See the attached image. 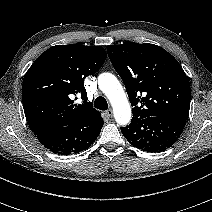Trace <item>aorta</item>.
I'll use <instances>...</instances> for the list:
<instances>
[{"instance_id":"1","label":"aorta","mask_w":212,"mask_h":212,"mask_svg":"<svg viewBox=\"0 0 212 212\" xmlns=\"http://www.w3.org/2000/svg\"><path fill=\"white\" fill-rule=\"evenodd\" d=\"M98 86L110 101L116 122L120 125H127L131 120V107L116 76L107 72L101 73L98 77Z\"/></svg>"}]
</instances>
